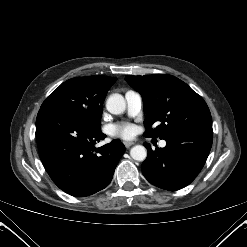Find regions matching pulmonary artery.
<instances>
[{
    "mask_svg": "<svg viewBox=\"0 0 247 247\" xmlns=\"http://www.w3.org/2000/svg\"><path fill=\"white\" fill-rule=\"evenodd\" d=\"M127 103V113L129 116L134 117L138 115L142 109L143 99L140 93L135 91H127L125 94ZM160 147L166 146V141L162 140L159 143Z\"/></svg>",
    "mask_w": 247,
    "mask_h": 247,
    "instance_id": "e3ab8cb5",
    "label": "pulmonary artery"
}]
</instances>
